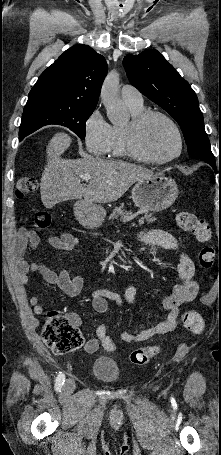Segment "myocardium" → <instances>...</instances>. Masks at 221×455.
I'll return each instance as SVG.
<instances>
[{
	"label": "myocardium",
	"instance_id": "1",
	"mask_svg": "<svg viewBox=\"0 0 221 455\" xmlns=\"http://www.w3.org/2000/svg\"><path fill=\"white\" fill-rule=\"evenodd\" d=\"M153 118L163 119L173 129L178 141V150L175 154L166 158H155L142 148L140 138L143 128ZM124 146L128 154L138 160L152 164H165L180 157L183 152L184 142L178 125L170 116L161 111L146 110L133 117V119L124 127Z\"/></svg>",
	"mask_w": 221,
	"mask_h": 455
}]
</instances>
